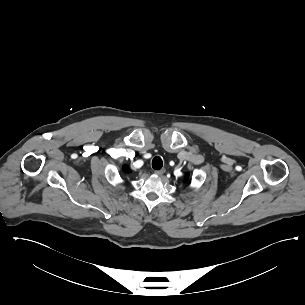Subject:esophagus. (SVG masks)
Returning <instances> with one entry per match:
<instances>
[{"mask_svg":"<svg viewBox=\"0 0 305 305\" xmlns=\"http://www.w3.org/2000/svg\"><path fill=\"white\" fill-rule=\"evenodd\" d=\"M165 172H166L165 169H161V170H156V171H154V174H155V175H158V176H161V175H163Z\"/></svg>","mask_w":305,"mask_h":305,"instance_id":"esophagus-1","label":"esophagus"}]
</instances>
